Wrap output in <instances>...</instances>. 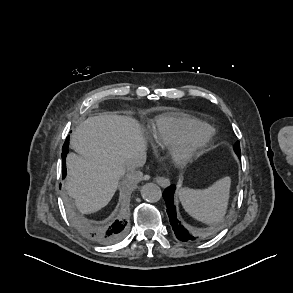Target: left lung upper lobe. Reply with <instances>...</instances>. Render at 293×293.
Returning <instances> with one entry per match:
<instances>
[{"instance_id":"5c2ea615","label":"left lung upper lobe","mask_w":293,"mask_h":293,"mask_svg":"<svg viewBox=\"0 0 293 293\" xmlns=\"http://www.w3.org/2000/svg\"><path fill=\"white\" fill-rule=\"evenodd\" d=\"M234 150H235L236 154H240V143L239 142H237L234 145Z\"/></svg>"}]
</instances>
